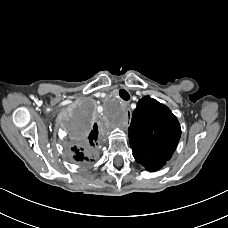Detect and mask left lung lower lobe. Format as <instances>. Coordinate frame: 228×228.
Listing matches in <instances>:
<instances>
[{
  "mask_svg": "<svg viewBox=\"0 0 228 228\" xmlns=\"http://www.w3.org/2000/svg\"><path fill=\"white\" fill-rule=\"evenodd\" d=\"M166 164V162H162V161H155L154 166L149 169L150 171H155L160 169L161 167H163Z\"/></svg>",
  "mask_w": 228,
  "mask_h": 228,
  "instance_id": "obj_1",
  "label": "left lung lower lobe"
}]
</instances>
